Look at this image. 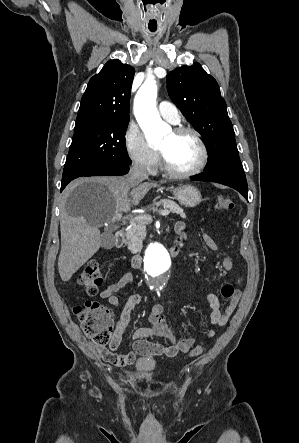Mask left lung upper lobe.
I'll return each mask as SVG.
<instances>
[{
	"label": "left lung upper lobe",
	"instance_id": "5c2ea615",
	"mask_svg": "<svg viewBox=\"0 0 299 443\" xmlns=\"http://www.w3.org/2000/svg\"><path fill=\"white\" fill-rule=\"evenodd\" d=\"M170 98L206 142L205 171H243L232 123L216 80L200 64L181 66L167 75Z\"/></svg>",
	"mask_w": 299,
	"mask_h": 443
}]
</instances>
